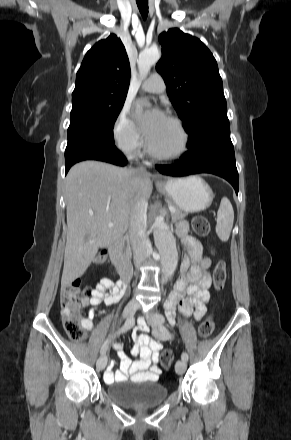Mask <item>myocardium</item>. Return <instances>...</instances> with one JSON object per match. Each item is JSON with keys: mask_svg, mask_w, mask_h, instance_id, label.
Masks as SVG:
<instances>
[{"mask_svg": "<svg viewBox=\"0 0 291 440\" xmlns=\"http://www.w3.org/2000/svg\"><path fill=\"white\" fill-rule=\"evenodd\" d=\"M166 118L173 123V125L175 126V128L177 129V131L180 135V148H179V150L175 153H172V154L161 153L151 146L148 139H146V150L152 158L159 160V161L169 162V161L178 160L186 154V152L188 150V145H189V136H188V133H187L184 125L177 117L167 115Z\"/></svg>", "mask_w": 291, "mask_h": 440, "instance_id": "1", "label": "myocardium"}]
</instances>
